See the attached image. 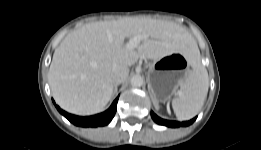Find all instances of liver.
Listing matches in <instances>:
<instances>
[{"instance_id": "1", "label": "liver", "mask_w": 261, "mask_h": 150, "mask_svg": "<svg viewBox=\"0 0 261 150\" xmlns=\"http://www.w3.org/2000/svg\"><path fill=\"white\" fill-rule=\"evenodd\" d=\"M146 35L133 49L125 38ZM192 36L163 20L126 17L88 23L69 33L56 48L48 81L56 103L76 115L100 112L112 97L114 66L134 65L139 58L158 60L175 52L190 60Z\"/></svg>"}]
</instances>
